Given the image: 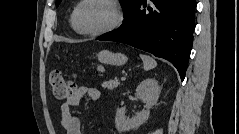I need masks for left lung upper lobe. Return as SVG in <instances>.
<instances>
[{
	"label": "left lung upper lobe",
	"mask_w": 239,
	"mask_h": 134,
	"mask_svg": "<svg viewBox=\"0 0 239 134\" xmlns=\"http://www.w3.org/2000/svg\"><path fill=\"white\" fill-rule=\"evenodd\" d=\"M60 2L61 0H56V7L59 5ZM120 2L126 15L130 10L131 6L133 5V3L135 2V0H120Z\"/></svg>",
	"instance_id": "5c2ea615"
}]
</instances>
